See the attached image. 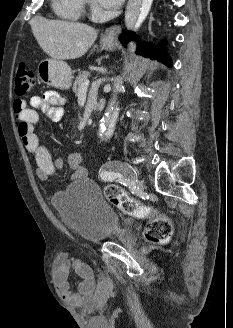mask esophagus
<instances>
[{
  "label": "esophagus",
  "instance_id": "esophagus-1",
  "mask_svg": "<svg viewBox=\"0 0 233 328\" xmlns=\"http://www.w3.org/2000/svg\"><path fill=\"white\" fill-rule=\"evenodd\" d=\"M120 32V26L119 25H113L107 28L104 32V38L114 40L116 39L118 33Z\"/></svg>",
  "mask_w": 233,
  "mask_h": 328
}]
</instances>
